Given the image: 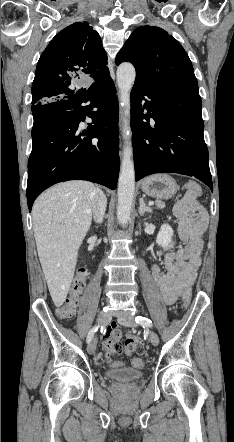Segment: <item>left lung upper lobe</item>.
<instances>
[{
	"label": "left lung upper lobe",
	"mask_w": 234,
	"mask_h": 442,
	"mask_svg": "<svg viewBox=\"0 0 234 442\" xmlns=\"http://www.w3.org/2000/svg\"><path fill=\"white\" fill-rule=\"evenodd\" d=\"M131 62L135 83L150 86L198 89L192 63L180 45L165 30L155 26L137 28L116 57V64Z\"/></svg>",
	"instance_id": "5c2ea615"
}]
</instances>
